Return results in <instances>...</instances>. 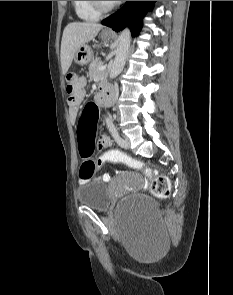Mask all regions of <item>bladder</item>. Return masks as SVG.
I'll use <instances>...</instances> for the list:
<instances>
[{"label":"bladder","mask_w":233,"mask_h":295,"mask_svg":"<svg viewBox=\"0 0 233 295\" xmlns=\"http://www.w3.org/2000/svg\"><path fill=\"white\" fill-rule=\"evenodd\" d=\"M76 198L82 206L100 212L107 211L111 204L110 190L104 182L99 180L88 181L79 186ZM119 210L123 214L139 213L147 220L159 217L156 202L146 195L125 197L119 205Z\"/></svg>","instance_id":"bladder-1"}]
</instances>
